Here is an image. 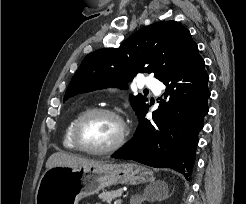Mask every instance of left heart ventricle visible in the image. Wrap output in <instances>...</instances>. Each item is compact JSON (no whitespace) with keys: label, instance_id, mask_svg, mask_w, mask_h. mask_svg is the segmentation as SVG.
Masks as SVG:
<instances>
[{"label":"left heart ventricle","instance_id":"b2bd125f","mask_svg":"<svg viewBox=\"0 0 246 204\" xmlns=\"http://www.w3.org/2000/svg\"><path fill=\"white\" fill-rule=\"evenodd\" d=\"M120 132L119 123L108 115L87 119L80 131L81 143L88 148H105L115 142Z\"/></svg>","mask_w":246,"mask_h":204}]
</instances>
